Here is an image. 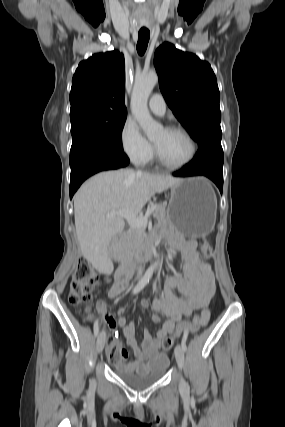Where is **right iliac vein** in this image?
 Returning a JSON list of instances; mask_svg holds the SVG:
<instances>
[{
    "mask_svg": "<svg viewBox=\"0 0 285 427\" xmlns=\"http://www.w3.org/2000/svg\"><path fill=\"white\" fill-rule=\"evenodd\" d=\"M106 342V332L102 331L97 338V351L102 352Z\"/></svg>",
    "mask_w": 285,
    "mask_h": 427,
    "instance_id": "right-iliac-vein-1",
    "label": "right iliac vein"
}]
</instances>
